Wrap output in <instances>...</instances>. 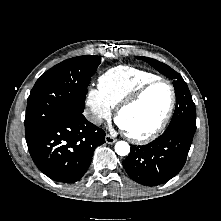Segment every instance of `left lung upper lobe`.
I'll return each mask as SVG.
<instances>
[{"instance_id": "1", "label": "left lung upper lobe", "mask_w": 221, "mask_h": 221, "mask_svg": "<svg viewBox=\"0 0 221 221\" xmlns=\"http://www.w3.org/2000/svg\"><path fill=\"white\" fill-rule=\"evenodd\" d=\"M137 59H141L151 66H153L160 73L173 79L175 94H176V109L172 120L166 130H175L178 128L196 130V111L195 104L192 100V96L188 89L187 84L183 80L180 74L170 68L168 65L149 58L137 56Z\"/></svg>"}]
</instances>
